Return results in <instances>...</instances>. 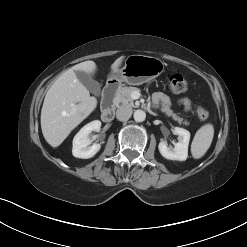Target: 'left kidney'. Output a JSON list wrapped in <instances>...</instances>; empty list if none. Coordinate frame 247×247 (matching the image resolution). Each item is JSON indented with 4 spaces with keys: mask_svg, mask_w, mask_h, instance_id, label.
Returning <instances> with one entry per match:
<instances>
[{
    "mask_svg": "<svg viewBox=\"0 0 247 247\" xmlns=\"http://www.w3.org/2000/svg\"><path fill=\"white\" fill-rule=\"evenodd\" d=\"M173 134L178 135V142L174 148L167 146L166 142L159 143L160 154L168 160L185 161L188 157V145L190 141V132L186 129L175 127Z\"/></svg>",
    "mask_w": 247,
    "mask_h": 247,
    "instance_id": "left-kidney-1",
    "label": "left kidney"
}]
</instances>
